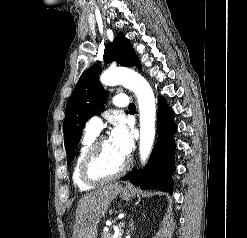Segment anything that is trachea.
Returning <instances> with one entry per match:
<instances>
[{
	"instance_id": "trachea-1",
	"label": "trachea",
	"mask_w": 247,
	"mask_h": 238,
	"mask_svg": "<svg viewBox=\"0 0 247 238\" xmlns=\"http://www.w3.org/2000/svg\"><path fill=\"white\" fill-rule=\"evenodd\" d=\"M129 110H136V106L134 103L129 104Z\"/></svg>"
}]
</instances>
